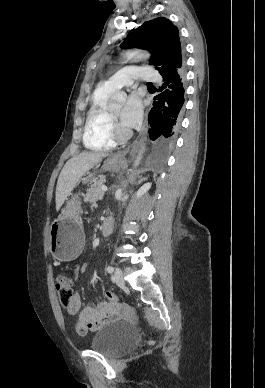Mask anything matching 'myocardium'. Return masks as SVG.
Segmentation results:
<instances>
[{
    "instance_id": "obj_1",
    "label": "myocardium",
    "mask_w": 265,
    "mask_h": 388,
    "mask_svg": "<svg viewBox=\"0 0 265 388\" xmlns=\"http://www.w3.org/2000/svg\"><path fill=\"white\" fill-rule=\"evenodd\" d=\"M113 90H108L106 87H104V88L98 89L97 91H109V95H110ZM107 121H108L109 131L114 139L123 140L130 135V131L123 124L119 122L118 118L113 116L110 112H108Z\"/></svg>"
}]
</instances>
